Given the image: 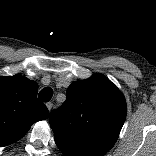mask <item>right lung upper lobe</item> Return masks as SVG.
<instances>
[{"instance_id": "obj_1", "label": "right lung upper lobe", "mask_w": 156, "mask_h": 156, "mask_svg": "<svg viewBox=\"0 0 156 156\" xmlns=\"http://www.w3.org/2000/svg\"><path fill=\"white\" fill-rule=\"evenodd\" d=\"M37 92V83L24 76L0 77V147L21 139L33 123L49 117Z\"/></svg>"}]
</instances>
